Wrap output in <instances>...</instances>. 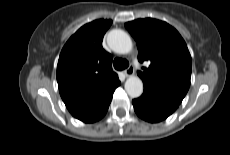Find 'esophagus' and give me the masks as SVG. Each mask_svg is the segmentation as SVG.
Listing matches in <instances>:
<instances>
[{
	"mask_svg": "<svg viewBox=\"0 0 230 155\" xmlns=\"http://www.w3.org/2000/svg\"><path fill=\"white\" fill-rule=\"evenodd\" d=\"M125 75L127 77H130L134 74V67L132 65H130L125 71H124Z\"/></svg>",
	"mask_w": 230,
	"mask_h": 155,
	"instance_id": "1",
	"label": "esophagus"
}]
</instances>
